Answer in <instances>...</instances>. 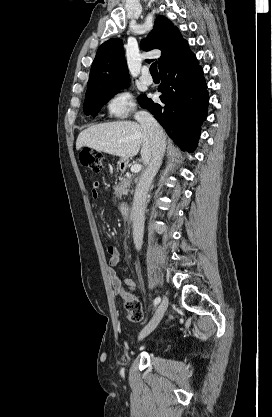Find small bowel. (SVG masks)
Instances as JSON below:
<instances>
[{
	"instance_id": "obj_1",
	"label": "small bowel",
	"mask_w": 272,
	"mask_h": 417,
	"mask_svg": "<svg viewBox=\"0 0 272 417\" xmlns=\"http://www.w3.org/2000/svg\"><path fill=\"white\" fill-rule=\"evenodd\" d=\"M100 183L95 181L92 185L91 195L93 199H97L99 196ZM107 253L109 255V276L112 283L113 291L116 295L120 296V289L124 288L128 292L136 291L137 284L136 281L132 278L127 277L126 275H118L116 267L122 264V258L119 253V250L115 246H109L107 248Z\"/></svg>"
}]
</instances>
